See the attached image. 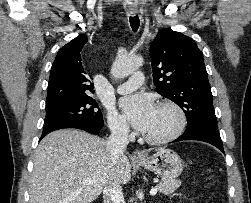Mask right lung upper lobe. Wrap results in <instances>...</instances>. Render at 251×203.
I'll return each mask as SVG.
<instances>
[{
  "instance_id": "cb5924a9",
  "label": "right lung upper lobe",
  "mask_w": 251,
  "mask_h": 203,
  "mask_svg": "<svg viewBox=\"0 0 251 203\" xmlns=\"http://www.w3.org/2000/svg\"><path fill=\"white\" fill-rule=\"evenodd\" d=\"M87 40L81 34L58 51L50 72L46 107L89 98L94 93L91 77L81 62L80 52Z\"/></svg>"
}]
</instances>
